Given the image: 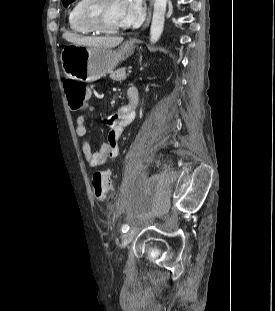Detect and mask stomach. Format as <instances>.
Masks as SVG:
<instances>
[{
    "instance_id": "stomach-1",
    "label": "stomach",
    "mask_w": 275,
    "mask_h": 311,
    "mask_svg": "<svg viewBox=\"0 0 275 311\" xmlns=\"http://www.w3.org/2000/svg\"><path fill=\"white\" fill-rule=\"evenodd\" d=\"M135 45L123 43L118 49L68 44L61 52L64 73L73 79L93 82L106 76L123 60L131 56Z\"/></svg>"
}]
</instances>
